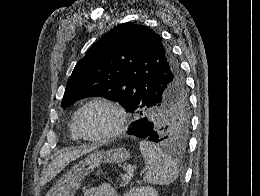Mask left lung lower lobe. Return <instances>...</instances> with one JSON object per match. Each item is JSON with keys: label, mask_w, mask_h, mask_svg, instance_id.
I'll return each mask as SVG.
<instances>
[{"label": "left lung lower lobe", "mask_w": 260, "mask_h": 196, "mask_svg": "<svg viewBox=\"0 0 260 196\" xmlns=\"http://www.w3.org/2000/svg\"><path fill=\"white\" fill-rule=\"evenodd\" d=\"M127 133L156 143L159 142V135L154 130L153 124L145 118L135 121Z\"/></svg>", "instance_id": "left-lung-lower-lobe-1"}]
</instances>
